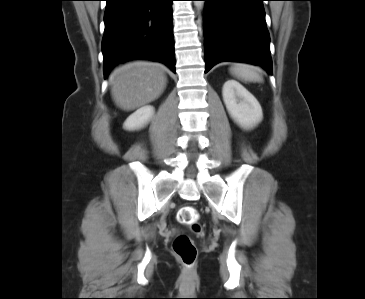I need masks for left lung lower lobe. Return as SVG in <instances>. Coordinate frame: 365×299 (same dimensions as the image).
I'll return each mask as SVG.
<instances>
[{
    "instance_id": "left-lung-lower-lobe-1",
    "label": "left lung lower lobe",
    "mask_w": 365,
    "mask_h": 299,
    "mask_svg": "<svg viewBox=\"0 0 365 299\" xmlns=\"http://www.w3.org/2000/svg\"><path fill=\"white\" fill-rule=\"evenodd\" d=\"M205 73L223 61L245 62L272 74L264 0H202Z\"/></svg>"
}]
</instances>
